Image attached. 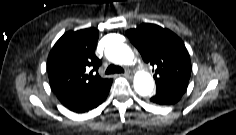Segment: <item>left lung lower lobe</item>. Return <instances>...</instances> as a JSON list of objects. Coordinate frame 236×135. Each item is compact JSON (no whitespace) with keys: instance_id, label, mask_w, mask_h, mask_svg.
<instances>
[{"instance_id":"1","label":"left lung lower lobe","mask_w":236,"mask_h":135,"mask_svg":"<svg viewBox=\"0 0 236 135\" xmlns=\"http://www.w3.org/2000/svg\"><path fill=\"white\" fill-rule=\"evenodd\" d=\"M188 83L176 82L156 86V94L150 98V101L159 105H172L177 103L184 92Z\"/></svg>"}]
</instances>
